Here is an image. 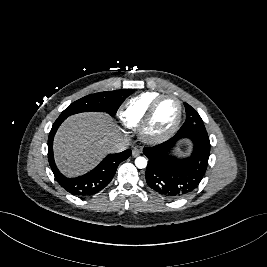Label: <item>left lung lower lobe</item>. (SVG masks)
Returning <instances> with one entry per match:
<instances>
[{
    "label": "left lung lower lobe",
    "mask_w": 267,
    "mask_h": 267,
    "mask_svg": "<svg viewBox=\"0 0 267 267\" xmlns=\"http://www.w3.org/2000/svg\"><path fill=\"white\" fill-rule=\"evenodd\" d=\"M193 142V152L187 158L173 156L172 150L180 139ZM148 158L146 182L150 188L167 198H180L192 192L202 180L210 155L207 133L189 132L175 135L164 143L145 147Z\"/></svg>",
    "instance_id": "1"
}]
</instances>
